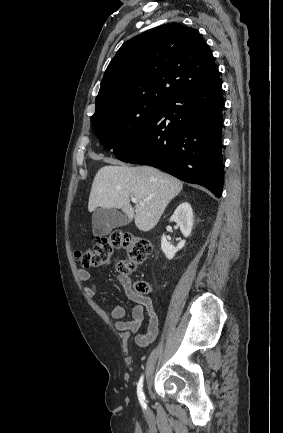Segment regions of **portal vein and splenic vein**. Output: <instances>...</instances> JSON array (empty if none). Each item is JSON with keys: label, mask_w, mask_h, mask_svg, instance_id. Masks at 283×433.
<instances>
[{"label": "portal vein and splenic vein", "mask_w": 283, "mask_h": 433, "mask_svg": "<svg viewBox=\"0 0 283 433\" xmlns=\"http://www.w3.org/2000/svg\"><path fill=\"white\" fill-rule=\"evenodd\" d=\"M131 200L132 202H137V198H134V196H132ZM140 204H144V202H140Z\"/></svg>", "instance_id": "18ae733b"}]
</instances>
